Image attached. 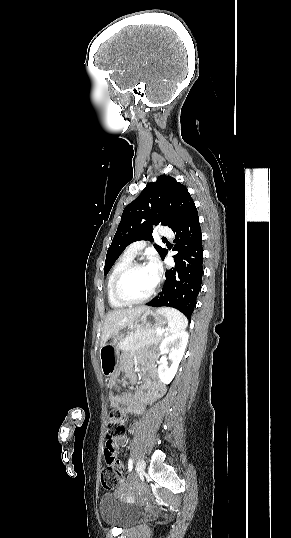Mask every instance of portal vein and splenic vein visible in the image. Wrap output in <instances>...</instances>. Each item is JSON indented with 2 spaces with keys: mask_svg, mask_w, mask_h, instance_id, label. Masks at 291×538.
Masks as SVG:
<instances>
[{
  "mask_svg": "<svg viewBox=\"0 0 291 538\" xmlns=\"http://www.w3.org/2000/svg\"><path fill=\"white\" fill-rule=\"evenodd\" d=\"M157 332H158L159 334H163V331H162V330H157Z\"/></svg>",
  "mask_w": 291,
  "mask_h": 538,
  "instance_id": "1",
  "label": "portal vein and splenic vein"
}]
</instances>
